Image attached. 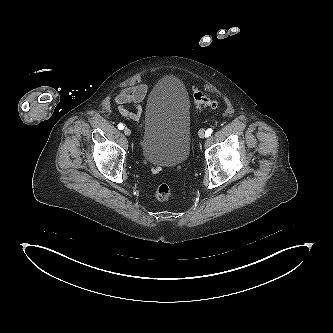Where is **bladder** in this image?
<instances>
[{
	"mask_svg": "<svg viewBox=\"0 0 333 333\" xmlns=\"http://www.w3.org/2000/svg\"><path fill=\"white\" fill-rule=\"evenodd\" d=\"M190 100L184 83L175 76L161 78L145 107L141 153L156 166L176 167L190 154Z\"/></svg>",
	"mask_w": 333,
	"mask_h": 333,
	"instance_id": "bladder-1",
	"label": "bladder"
}]
</instances>
